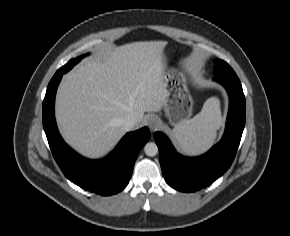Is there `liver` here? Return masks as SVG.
<instances>
[{
	"label": "liver",
	"mask_w": 290,
	"mask_h": 236,
	"mask_svg": "<svg viewBox=\"0 0 290 236\" xmlns=\"http://www.w3.org/2000/svg\"><path fill=\"white\" fill-rule=\"evenodd\" d=\"M166 41L133 42L83 61L59 86L55 115L64 140L85 157L109 153L124 136L121 120L158 112L167 98L163 82Z\"/></svg>",
	"instance_id": "1"
}]
</instances>
